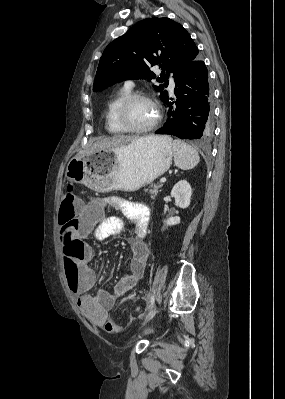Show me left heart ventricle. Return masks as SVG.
Here are the masks:
<instances>
[{
    "label": "left heart ventricle",
    "instance_id": "b2bd125f",
    "mask_svg": "<svg viewBox=\"0 0 285 399\" xmlns=\"http://www.w3.org/2000/svg\"><path fill=\"white\" fill-rule=\"evenodd\" d=\"M155 116L154 106L145 100L135 101L128 110V122L135 128H142L151 124Z\"/></svg>",
    "mask_w": 285,
    "mask_h": 399
}]
</instances>
